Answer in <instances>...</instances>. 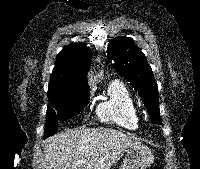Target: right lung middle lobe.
<instances>
[{
  "label": "right lung middle lobe",
  "instance_id": "obj_1",
  "mask_svg": "<svg viewBox=\"0 0 200 169\" xmlns=\"http://www.w3.org/2000/svg\"><path fill=\"white\" fill-rule=\"evenodd\" d=\"M89 97L90 92H84L70 97L48 99L54 106V109L48 106L44 138L56 133L58 120H66L82 111L88 104Z\"/></svg>",
  "mask_w": 200,
  "mask_h": 169
}]
</instances>
